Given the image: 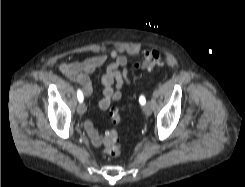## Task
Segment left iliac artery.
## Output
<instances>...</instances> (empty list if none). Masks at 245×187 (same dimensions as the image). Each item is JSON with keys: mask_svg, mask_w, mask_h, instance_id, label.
<instances>
[{"mask_svg": "<svg viewBox=\"0 0 245 187\" xmlns=\"http://www.w3.org/2000/svg\"><path fill=\"white\" fill-rule=\"evenodd\" d=\"M139 102H140L141 105H144L146 103L145 97L141 95L140 98H139Z\"/></svg>", "mask_w": 245, "mask_h": 187, "instance_id": "44dca946", "label": "left iliac artery"}]
</instances>
